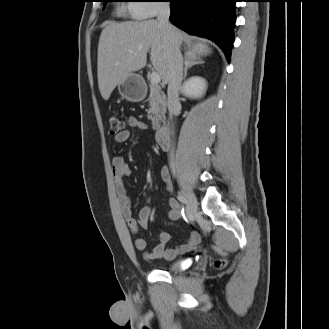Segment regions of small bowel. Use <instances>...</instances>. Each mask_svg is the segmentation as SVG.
Returning a JSON list of instances; mask_svg holds the SVG:
<instances>
[{
    "mask_svg": "<svg viewBox=\"0 0 329 329\" xmlns=\"http://www.w3.org/2000/svg\"><path fill=\"white\" fill-rule=\"evenodd\" d=\"M128 127L135 130H146L148 125L136 117H129L127 120ZM130 138V131L124 130L123 132L115 136L117 143H125ZM112 172L114 176L115 190L117 194L118 205L129 229L133 234H137L141 228H147L149 220L154 211L151 207H144L139 211L138 217L134 218L131 210V200L125 188L124 181L130 176L131 170L127 165L123 156H116L113 159ZM160 176L166 183L168 190H172L170 173L167 168L163 167L160 170ZM169 212L168 217L171 220H177L181 216V206L174 199L169 200ZM171 236L167 232H161L159 235V242L154 249L149 252L146 251V241L143 238H136L134 246L137 251L142 253V257L146 261L155 260H172L178 255L187 253L196 248L199 243V237L197 234H190L183 242L174 247H167Z\"/></svg>",
    "mask_w": 329,
    "mask_h": 329,
    "instance_id": "small-bowel-1",
    "label": "small bowel"
}]
</instances>
